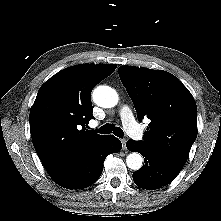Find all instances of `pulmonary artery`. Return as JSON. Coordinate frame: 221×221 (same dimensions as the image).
<instances>
[{
    "instance_id": "e3ab8cb5",
    "label": "pulmonary artery",
    "mask_w": 221,
    "mask_h": 221,
    "mask_svg": "<svg viewBox=\"0 0 221 221\" xmlns=\"http://www.w3.org/2000/svg\"><path fill=\"white\" fill-rule=\"evenodd\" d=\"M120 116L126 132L136 140L143 138V132L136 123L133 114L128 106H124L120 110Z\"/></svg>"
}]
</instances>
